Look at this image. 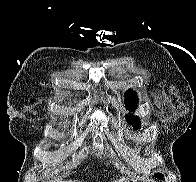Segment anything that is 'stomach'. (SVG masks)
<instances>
[{
	"mask_svg": "<svg viewBox=\"0 0 196 182\" xmlns=\"http://www.w3.org/2000/svg\"><path fill=\"white\" fill-rule=\"evenodd\" d=\"M128 182H137V179H130Z\"/></svg>",
	"mask_w": 196,
	"mask_h": 182,
	"instance_id": "0dacf381",
	"label": "stomach"
}]
</instances>
